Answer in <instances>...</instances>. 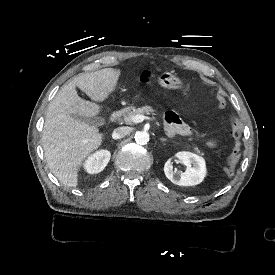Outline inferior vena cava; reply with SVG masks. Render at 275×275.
I'll use <instances>...</instances> for the list:
<instances>
[{"mask_svg": "<svg viewBox=\"0 0 275 275\" xmlns=\"http://www.w3.org/2000/svg\"><path fill=\"white\" fill-rule=\"evenodd\" d=\"M131 131L132 130L129 127H119L113 131L112 137H113V139H121V138L129 135L131 133Z\"/></svg>", "mask_w": 275, "mask_h": 275, "instance_id": "inferior-vena-cava-1", "label": "inferior vena cava"}]
</instances>
